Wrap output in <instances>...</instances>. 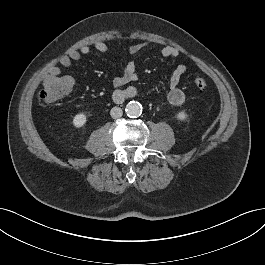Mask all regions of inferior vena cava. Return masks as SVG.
Masks as SVG:
<instances>
[{
	"label": "inferior vena cava",
	"instance_id": "1",
	"mask_svg": "<svg viewBox=\"0 0 265 265\" xmlns=\"http://www.w3.org/2000/svg\"><path fill=\"white\" fill-rule=\"evenodd\" d=\"M122 114H123V111L120 107H113L110 111V115L114 119L120 118Z\"/></svg>",
	"mask_w": 265,
	"mask_h": 265
}]
</instances>
